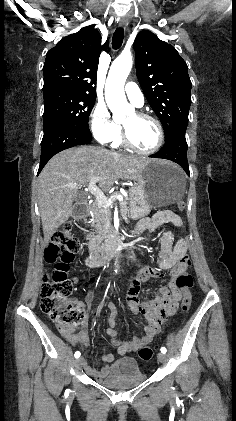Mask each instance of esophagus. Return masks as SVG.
<instances>
[{
    "label": "esophagus",
    "mask_w": 236,
    "mask_h": 421,
    "mask_svg": "<svg viewBox=\"0 0 236 421\" xmlns=\"http://www.w3.org/2000/svg\"><path fill=\"white\" fill-rule=\"evenodd\" d=\"M120 27H126L128 25V20L126 17H121L119 20Z\"/></svg>",
    "instance_id": "1"
}]
</instances>
